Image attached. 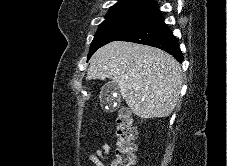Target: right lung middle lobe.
<instances>
[{
  "instance_id": "dd1d6c3e",
  "label": "right lung middle lobe",
  "mask_w": 227,
  "mask_h": 166,
  "mask_svg": "<svg viewBox=\"0 0 227 166\" xmlns=\"http://www.w3.org/2000/svg\"><path fill=\"white\" fill-rule=\"evenodd\" d=\"M157 10V6L147 5H116L110 8L91 43L88 58L98 48L129 32Z\"/></svg>"
}]
</instances>
